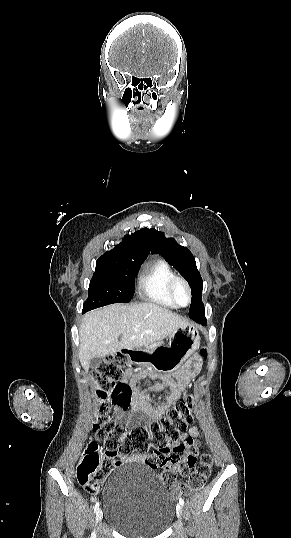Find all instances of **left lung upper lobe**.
<instances>
[{
  "mask_svg": "<svg viewBox=\"0 0 291 538\" xmlns=\"http://www.w3.org/2000/svg\"><path fill=\"white\" fill-rule=\"evenodd\" d=\"M152 252L158 253L172 265L189 283L192 292V301L189 317L204 308L202 303L203 281L197 270L196 261L187 247L179 245L174 238H166L164 233L150 229Z\"/></svg>",
  "mask_w": 291,
  "mask_h": 538,
  "instance_id": "1",
  "label": "left lung upper lobe"
}]
</instances>
